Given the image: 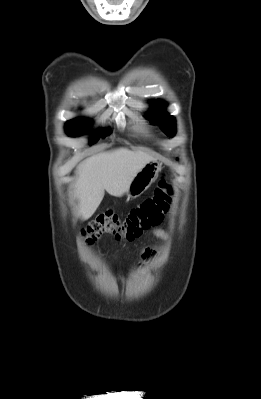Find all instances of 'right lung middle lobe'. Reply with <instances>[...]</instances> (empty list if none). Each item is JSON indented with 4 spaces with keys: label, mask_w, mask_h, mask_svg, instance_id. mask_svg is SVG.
I'll list each match as a JSON object with an SVG mask.
<instances>
[{
    "label": "right lung middle lobe",
    "mask_w": 261,
    "mask_h": 399,
    "mask_svg": "<svg viewBox=\"0 0 261 399\" xmlns=\"http://www.w3.org/2000/svg\"><path fill=\"white\" fill-rule=\"evenodd\" d=\"M91 126V121L86 119V118H76L68 121L66 123V131L67 134L76 137L85 134ZM111 132L110 129H105L103 134L104 135H109ZM101 132H98L96 136H93L91 138L90 144H94L98 141L100 138L99 135Z\"/></svg>",
    "instance_id": "obj_1"
}]
</instances>
